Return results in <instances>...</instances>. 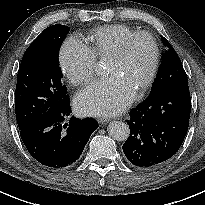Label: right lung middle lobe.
<instances>
[{
  "instance_id": "right-lung-middle-lobe-1",
  "label": "right lung middle lobe",
  "mask_w": 205,
  "mask_h": 205,
  "mask_svg": "<svg viewBox=\"0 0 205 205\" xmlns=\"http://www.w3.org/2000/svg\"><path fill=\"white\" fill-rule=\"evenodd\" d=\"M70 28H46L25 51L17 75L15 111L22 129L52 107L69 101L61 78L58 54Z\"/></svg>"
}]
</instances>
